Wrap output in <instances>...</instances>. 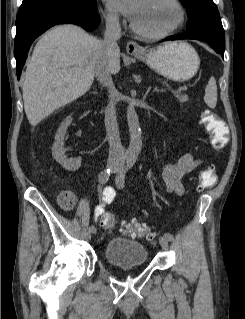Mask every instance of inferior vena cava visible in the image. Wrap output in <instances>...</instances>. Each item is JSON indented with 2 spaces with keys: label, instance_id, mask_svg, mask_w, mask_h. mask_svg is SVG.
<instances>
[{
  "label": "inferior vena cava",
  "instance_id": "602c4592",
  "mask_svg": "<svg viewBox=\"0 0 245 319\" xmlns=\"http://www.w3.org/2000/svg\"><path fill=\"white\" fill-rule=\"evenodd\" d=\"M106 30L104 40L101 42L105 58L97 67L95 74L97 80L109 88L110 101L105 109V127L106 138L109 143V161L124 163V151L121 144L118 123L116 118V109L114 104L115 89L109 69V62L115 59L120 49L117 40L121 37V28L119 25V16L116 13L109 12L106 17Z\"/></svg>",
  "mask_w": 245,
  "mask_h": 319
}]
</instances>
